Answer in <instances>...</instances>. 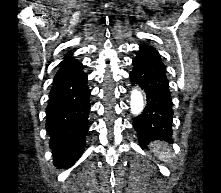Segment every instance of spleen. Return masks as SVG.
I'll use <instances>...</instances> for the list:
<instances>
[{
  "label": "spleen",
  "mask_w": 221,
  "mask_h": 193,
  "mask_svg": "<svg viewBox=\"0 0 221 193\" xmlns=\"http://www.w3.org/2000/svg\"><path fill=\"white\" fill-rule=\"evenodd\" d=\"M153 152L158 156V158L163 162L171 161V155L166 148V145L162 142H156L152 144Z\"/></svg>",
  "instance_id": "3e777b00"
}]
</instances>
